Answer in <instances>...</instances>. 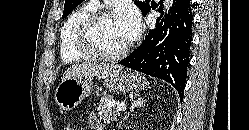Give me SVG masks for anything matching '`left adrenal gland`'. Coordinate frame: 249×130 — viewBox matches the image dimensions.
Masks as SVG:
<instances>
[{
    "label": "left adrenal gland",
    "instance_id": "obj_1",
    "mask_svg": "<svg viewBox=\"0 0 249 130\" xmlns=\"http://www.w3.org/2000/svg\"><path fill=\"white\" fill-rule=\"evenodd\" d=\"M145 100L141 97H139L137 100H135L131 106H130V111L120 120V122L117 124V128H120L122 122L126 120L136 108H141L144 106Z\"/></svg>",
    "mask_w": 249,
    "mask_h": 130
}]
</instances>
